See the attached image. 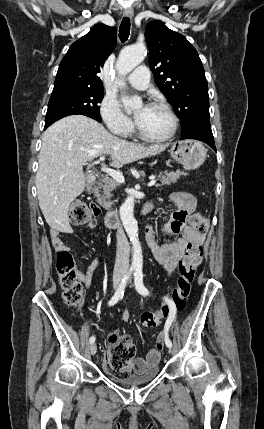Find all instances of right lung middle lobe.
I'll list each match as a JSON object with an SVG mask.
<instances>
[{
	"label": "right lung middle lobe",
	"mask_w": 264,
	"mask_h": 429,
	"mask_svg": "<svg viewBox=\"0 0 264 429\" xmlns=\"http://www.w3.org/2000/svg\"><path fill=\"white\" fill-rule=\"evenodd\" d=\"M102 99L103 89L65 87L53 90L48 103L45 127L74 114L85 115L101 122L98 103H101Z\"/></svg>",
	"instance_id": "right-lung-middle-lobe-1"
}]
</instances>
